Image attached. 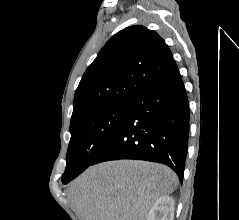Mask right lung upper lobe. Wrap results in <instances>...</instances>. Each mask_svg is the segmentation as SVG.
<instances>
[{"instance_id": "right-lung-upper-lobe-1", "label": "right lung upper lobe", "mask_w": 239, "mask_h": 220, "mask_svg": "<svg viewBox=\"0 0 239 220\" xmlns=\"http://www.w3.org/2000/svg\"><path fill=\"white\" fill-rule=\"evenodd\" d=\"M177 67L164 40L136 25L115 34L87 68L75 92L71 123L91 112L130 104Z\"/></svg>"}]
</instances>
